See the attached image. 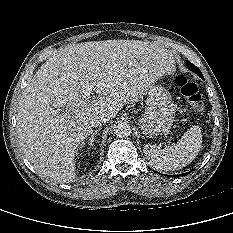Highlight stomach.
<instances>
[{
	"mask_svg": "<svg viewBox=\"0 0 233 233\" xmlns=\"http://www.w3.org/2000/svg\"><path fill=\"white\" fill-rule=\"evenodd\" d=\"M175 105L169 92L159 84H152L147 91L144 114L138 122L146 137L166 133L174 122Z\"/></svg>",
	"mask_w": 233,
	"mask_h": 233,
	"instance_id": "stomach-1",
	"label": "stomach"
}]
</instances>
